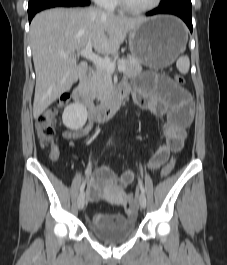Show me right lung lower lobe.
<instances>
[{
	"label": "right lung lower lobe",
	"instance_id": "98d812e1",
	"mask_svg": "<svg viewBox=\"0 0 227 265\" xmlns=\"http://www.w3.org/2000/svg\"><path fill=\"white\" fill-rule=\"evenodd\" d=\"M90 4L89 0H45L39 6L32 10H28L29 22H31L34 15L44 9L53 7H73V6H87Z\"/></svg>",
	"mask_w": 227,
	"mask_h": 265
}]
</instances>
